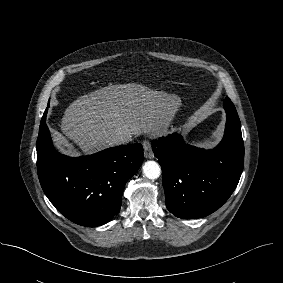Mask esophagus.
I'll list each match as a JSON object with an SVG mask.
<instances>
[{
    "mask_svg": "<svg viewBox=\"0 0 283 283\" xmlns=\"http://www.w3.org/2000/svg\"><path fill=\"white\" fill-rule=\"evenodd\" d=\"M144 156L147 159L154 158V153L152 151L151 143L149 141L143 142Z\"/></svg>",
    "mask_w": 283,
    "mask_h": 283,
    "instance_id": "1",
    "label": "esophagus"
}]
</instances>
